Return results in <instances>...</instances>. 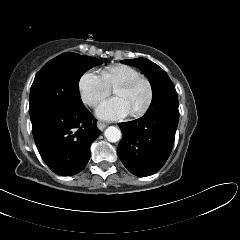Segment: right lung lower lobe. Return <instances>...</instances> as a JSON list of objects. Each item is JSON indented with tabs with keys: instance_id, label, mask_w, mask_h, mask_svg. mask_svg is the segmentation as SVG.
<instances>
[{
	"instance_id": "right-lung-lower-lobe-1",
	"label": "right lung lower lobe",
	"mask_w": 240,
	"mask_h": 240,
	"mask_svg": "<svg viewBox=\"0 0 240 240\" xmlns=\"http://www.w3.org/2000/svg\"><path fill=\"white\" fill-rule=\"evenodd\" d=\"M31 122L38 151L54 173L72 176L85 168L91 156L90 145L101 132L84 105L50 111Z\"/></svg>"
}]
</instances>
